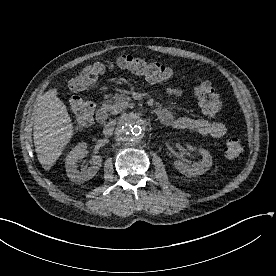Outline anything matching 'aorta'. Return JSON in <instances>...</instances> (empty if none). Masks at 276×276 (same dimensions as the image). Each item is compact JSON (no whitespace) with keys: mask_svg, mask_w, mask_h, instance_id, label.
I'll list each match as a JSON object with an SVG mask.
<instances>
[{"mask_svg":"<svg viewBox=\"0 0 276 276\" xmlns=\"http://www.w3.org/2000/svg\"><path fill=\"white\" fill-rule=\"evenodd\" d=\"M143 134V121L140 116L135 113L124 116L117 127V135L126 145L139 143L143 138Z\"/></svg>","mask_w":276,"mask_h":276,"instance_id":"aorta-1","label":"aorta"}]
</instances>
